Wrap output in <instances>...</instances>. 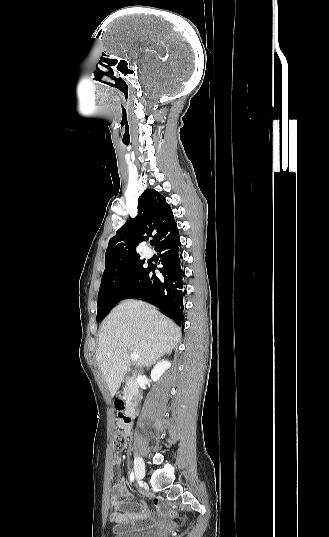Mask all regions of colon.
Returning <instances> with one entry per match:
<instances>
[{
  "label": "colon",
  "instance_id": "1",
  "mask_svg": "<svg viewBox=\"0 0 329 537\" xmlns=\"http://www.w3.org/2000/svg\"><path fill=\"white\" fill-rule=\"evenodd\" d=\"M118 418L123 423L130 422V419L126 417L123 413H118ZM127 444V434L123 430H117L114 433L113 437V451L115 453H120L124 450ZM172 516H175V513H172Z\"/></svg>",
  "mask_w": 329,
  "mask_h": 537
}]
</instances>
